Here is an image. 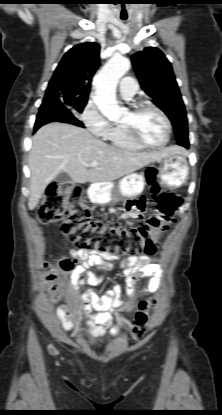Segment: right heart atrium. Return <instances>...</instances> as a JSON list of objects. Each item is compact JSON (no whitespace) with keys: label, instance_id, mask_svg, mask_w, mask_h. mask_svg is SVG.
<instances>
[{"label":"right heart atrium","instance_id":"right-heart-atrium-1","mask_svg":"<svg viewBox=\"0 0 222 415\" xmlns=\"http://www.w3.org/2000/svg\"><path fill=\"white\" fill-rule=\"evenodd\" d=\"M79 119L93 135L104 139L108 137L114 127L93 100L87 102L79 114Z\"/></svg>","mask_w":222,"mask_h":415}]
</instances>
